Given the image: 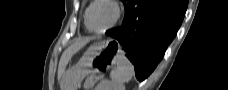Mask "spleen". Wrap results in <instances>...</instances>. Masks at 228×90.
I'll list each match as a JSON object with an SVG mask.
<instances>
[{
  "instance_id": "3e777b00",
  "label": "spleen",
  "mask_w": 228,
  "mask_h": 90,
  "mask_svg": "<svg viewBox=\"0 0 228 90\" xmlns=\"http://www.w3.org/2000/svg\"><path fill=\"white\" fill-rule=\"evenodd\" d=\"M134 74V67L126 58L123 51H119L116 58V68L110 72V78L114 83L123 84L131 80Z\"/></svg>"
}]
</instances>
